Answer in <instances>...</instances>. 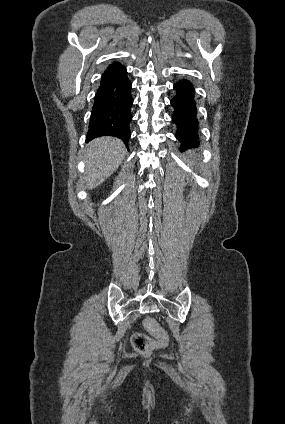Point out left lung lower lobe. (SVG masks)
I'll return each mask as SVG.
<instances>
[{
	"label": "left lung lower lobe",
	"instance_id": "obj_1",
	"mask_svg": "<svg viewBox=\"0 0 285 424\" xmlns=\"http://www.w3.org/2000/svg\"><path fill=\"white\" fill-rule=\"evenodd\" d=\"M176 96L171 100L174 107L172 119L177 125L176 137L181 142V149L195 146L198 140L197 108L194 100L195 89L187 79L174 84Z\"/></svg>",
	"mask_w": 285,
	"mask_h": 424
}]
</instances>
